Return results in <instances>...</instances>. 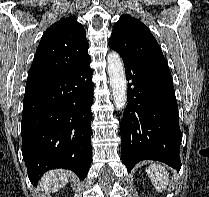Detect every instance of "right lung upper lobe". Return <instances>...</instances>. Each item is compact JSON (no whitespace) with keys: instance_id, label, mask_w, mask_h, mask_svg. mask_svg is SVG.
<instances>
[{"instance_id":"1","label":"right lung upper lobe","mask_w":209,"mask_h":197,"mask_svg":"<svg viewBox=\"0 0 209 197\" xmlns=\"http://www.w3.org/2000/svg\"><path fill=\"white\" fill-rule=\"evenodd\" d=\"M88 41L76 17H66L44 33L28 72L26 88L50 81L72 70L88 55Z\"/></svg>"}]
</instances>
